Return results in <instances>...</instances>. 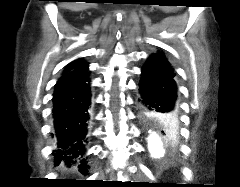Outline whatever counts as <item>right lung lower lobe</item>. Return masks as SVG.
<instances>
[{"label":"right lung lower lobe","instance_id":"98d812e1","mask_svg":"<svg viewBox=\"0 0 240 187\" xmlns=\"http://www.w3.org/2000/svg\"><path fill=\"white\" fill-rule=\"evenodd\" d=\"M88 63L63 73L55 85L53 94V118L56 148L53 151L55 165L78 164L87 173L83 157L87 145L90 119V80Z\"/></svg>","mask_w":240,"mask_h":187}]
</instances>
